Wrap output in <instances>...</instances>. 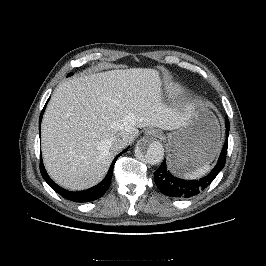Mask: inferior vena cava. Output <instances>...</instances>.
I'll list each match as a JSON object with an SVG mask.
<instances>
[{
	"label": "inferior vena cava",
	"mask_w": 266,
	"mask_h": 266,
	"mask_svg": "<svg viewBox=\"0 0 266 266\" xmlns=\"http://www.w3.org/2000/svg\"><path fill=\"white\" fill-rule=\"evenodd\" d=\"M130 139L131 137L127 133H121L114 136L111 140L113 149L116 151L123 149L130 143Z\"/></svg>",
	"instance_id": "1"
}]
</instances>
